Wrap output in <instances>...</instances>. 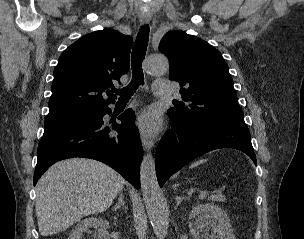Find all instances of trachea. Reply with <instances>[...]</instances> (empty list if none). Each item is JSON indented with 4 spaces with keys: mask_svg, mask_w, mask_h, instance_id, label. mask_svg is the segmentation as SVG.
<instances>
[{
    "mask_svg": "<svg viewBox=\"0 0 304 239\" xmlns=\"http://www.w3.org/2000/svg\"><path fill=\"white\" fill-rule=\"evenodd\" d=\"M149 26L144 25L140 28L135 44L132 49L131 66H132V80L122 89H114L113 91L120 96L119 100H129L136 92L139 85L144 84V74L142 69V62L145 58L148 41H149Z\"/></svg>",
    "mask_w": 304,
    "mask_h": 239,
    "instance_id": "obj_1",
    "label": "trachea"
}]
</instances>
